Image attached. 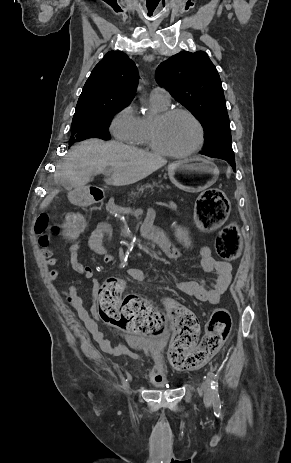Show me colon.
I'll return each instance as SVG.
<instances>
[{
	"mask_svg": "<svg viewBox=\"0 0 291 463\" xmlns=\"http://www.w3.org/2000/svg\"><path fill=\"white\" fill-rule=\"evenodd\" d=\"M230 202L219 188L203 192L195 204V216L202 230H211L220 226L227 218ZM175 220H187V209H175ZM82 217L69 213L60 224H50L46 213L41 214L35 225L38 236L49 233L63 234L75 239L84 231ZM240 239L237 226H225L216 239L218 256L225 261H233L239 255ZM125 282L120 277L107 279L96 291L100 318L111 325L131 333L157 336L164 332V316L147 300L139 296H123ZM166 315L173 324V337L167 353L172 367L178 370H192L201 367L219 350L228 338L232 327V318L225 309L213 312L205 326L204 335L198 344L200 326L195 314L171 301L165 303Z\"/></svg>",
	"mask_w": 291,
	"mask_h": 463,
	"instance_id": "obj_1",
	"label": "colon"
}]
</instances>
